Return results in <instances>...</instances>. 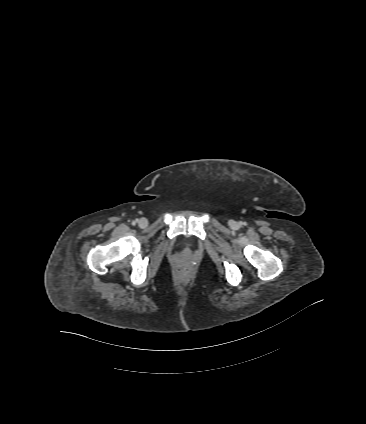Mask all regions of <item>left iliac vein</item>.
<instances>
[{
  "instance_id": "obj_1",
  "label": "left iliac vein",
  "mask_w": 366,
  "mask_h": 424,
  "mask_svg": "<svg viewBox=\"0 0 366 424\" xmlns=\"http://www.w3.org/2000/svg\"><path fill=\"white\" fill-rule=\"evenodd\" d=\"M229 225L233 229H238V227H239L238 223L233 221V220L229 221Z\"/></svg>"
}]
</instances>
